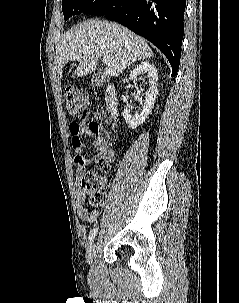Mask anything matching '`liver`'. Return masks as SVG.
Wrapping results in <instances>:
<instances>
[{
  "mask_svg": "<svg viewBox=\"0 0 239 303\" xmlns=\"http://www.w3.org/2000/svg\"><path fill=\"white\" fill-rule=\"evenodd\" d=\"M152 56L145 39L122 25L97 19L74 26L56 50L60 78L72 61H79L74 76L83 77L96 69L98 58H109L111 63L106 65L104 74L117 77L129 65Z\"/></svg>",
  "mask_w": 239,
  "mask_h": 303,
  "instance_id": "1",
  "label": "liver"
}]
</instances>
